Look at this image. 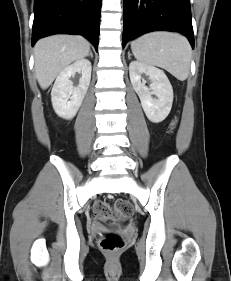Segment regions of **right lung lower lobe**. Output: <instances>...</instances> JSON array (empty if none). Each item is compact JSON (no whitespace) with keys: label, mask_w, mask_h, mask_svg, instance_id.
Here are the masks:
<instances>
[{"label":"right lung lower lobe","mask_w":231,"mask_h":281,"mask_svg":"<svg viewBox=\"0 0 231 281\" xmlns=\"http://www.w3.org/2000/svg\"><path fill=\"white\" fill-rule=\"evenodd\" d=\"M102 0H35L32 45L53 34H79L97 50Z\"/></svg>","instance_id":"1"}]
</instances>
